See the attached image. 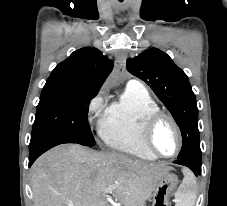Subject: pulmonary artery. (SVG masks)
I'll use <instances>...</instances> for the list:
<instances>
[{"label":"pulmonary artery","instance_id":"pulmonary-artery-1","mask_svg":"<svg viewBox=\"0 0 227 206\" xmlns=\"http://www.w3.org/2000/svg\"><path fill=\"white\" fill-rule=\"evenodd\" d=\"M128 88H134V89H145L144 85L136 79H131L127 83Z\"/></svg>","mask_w":227,"mask_h":206}]
</instances>
